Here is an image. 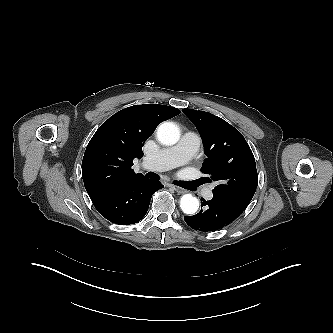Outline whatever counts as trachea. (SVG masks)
Returning a JSON list of instances; mask_svg holds the SVG:
<instances>
[{
  "label": "trachea",
  "instance_id": "3493384b",
  "mask_svg": "<svg viewBox=\"0 0 333 333\" xmlns=\"http://www.w3.org/2000/svg\"><path fill=\"white\" fill-rule=\"evenodd\" d=\"M146 176H147L148 178H150V179H153V180H159V179H160L159 175L156 174V173H154V172H148V173L146 174ZM174 184H175V185H178V186H180V187L185 188V187H184V182H182V181H174Z\"/></svg>",
  "mask_w": 333,
  "mask_h": 333
}]
</instances>
